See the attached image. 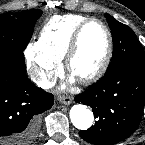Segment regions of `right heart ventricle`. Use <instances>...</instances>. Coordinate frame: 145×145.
<instances>
[{"label":"right heart ventricle","instance_id":"obj_1","mask_svg":"<svg viewBox=\"0 0 145 145\" xmlns=\"http://www.w3.org/2000/svg\"><path fill=\"white\" fill-rule=\"evenodd\" d=\"M88 18L78 14L51 17L40 31L38 45L46 53L62 60L76 28Z\"/></svg>","mask_w":145,"mask_h":145}]
</instances>
